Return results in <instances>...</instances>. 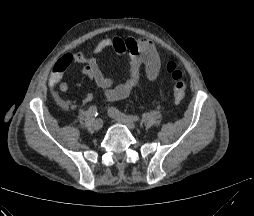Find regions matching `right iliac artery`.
I'll return each mask as SVG.
<instances>
[{"mask_svg": "<svg viewBox=\"0 0 254 216\" xmlns=\"http://www.w3.org/2000/svg\"><path fill=\"white\" fill-rule=\"evenodd\" d=\"M89 114L92 116V117H96L98 115V110L96 108V106H91L88 110Z\"/></svg>", "mask_w": 254, "mask_h": 216, "instance_id": "82829eb1", "label": "right iliac artery"}]
</instances>
